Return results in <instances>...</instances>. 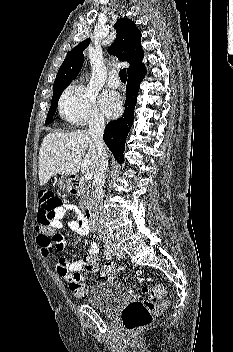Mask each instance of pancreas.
Wrapping results in <instances>:
<instances>
[{"label": "pancreas", "mask_w": 233, "mask_h": 352, "mask_svg": "<svg viewBox=\"0 0 233 352\" xmlns=\"http://www.w3.org/2000/svg\"><path fill=\"white\" fill-rule=\"evenodd\" d=\"M80 196H81V199H80L79 207L82 210H86L90 205L91 196H90L89 192L87 190H85L84 188H81Z\"/></svg>", "instance_id": "pancreas-1"}]
</instances>
